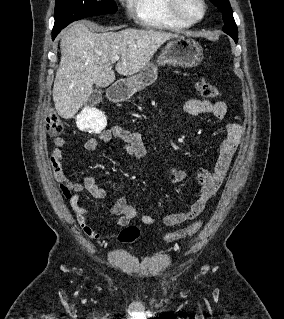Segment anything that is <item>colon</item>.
<instances>
[{
    "instance_id": "colon-1",
    "label": "colon",
    "mask_w": 284,
    "mask_h": 319,
    "mask_svg": "<svg viewBox=\"0 0 284 319\" xmlns=\"http://www.w3.org/2000/svg\"><path fill=\"white\" fill-rule=\"evenodd\" d=\"M196 88L203 97L217 98L219 96L218 88L205 79H200L196 84ZM45 127L47 133L50 136L55 137L63 132L65 125L57 115L50 114L46 118ZM201 227L202 222L196 221L185 228L167 234L164 237V241L172 242L181 238L192 236L198 232ZM139 235L140 231L136 226H127L119 233L118 239L121 242L131 243L137 240Z\"/></svg>"
}]
</instances>
